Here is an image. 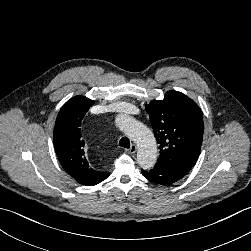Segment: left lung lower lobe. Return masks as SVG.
I'll use <instances>...</instances> for the list:
<instances>
[{
    "label": "left lung lower lobe",
    "instance_id": "obj_1",
    "mask_svg": "<svg viewBox=\"0 0 251 251\" xmlns=\"http://www.w3.org/2000/svg\"><path fill=\"white\" fill-rule=\"evenodd\" d=\"M142 174L148 180L160 185L173 184L186 175L183 171L162 165H155L150 171L142 170Z\"/></svg>",
    "mask_w": 251,
    "mask_h": 251
}]
</instances>
